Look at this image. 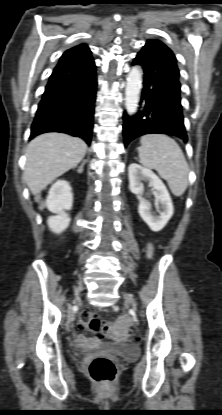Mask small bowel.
<instances>
[{"mask_svg":"<svg viewBox=\"0 0 222 415\" xmlns=\"http://www.w3.org/2000/svg\"><path fill=\"white\" fill-rule=\"evenodd\" d=\"M149 248H150V249L152 248V245H151V244H149ZM79 340H80V341H84V340H85V338H84V337H80V338H79Z\"/></svg>","mask_w":222,"mask_h":415,"instance_id":"1","label":"small bowel"}]
</instances>
